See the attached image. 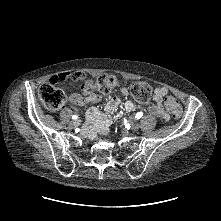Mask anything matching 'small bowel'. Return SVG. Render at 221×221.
<instances>
[{
	"instance_id": "small-bowel-1",
	"label": "small bowel",
	"mask_w": 221,
	"mask_h": 221,
	"mask_svg": "<svg viewBox=\"0 0 221 221\" xmlns=\"http://www.w3.org/2000/svg\"><path fill=\"white\" fill-rule=\"evenodd\" d=\"M83 75L74 70L71 73L65 72L57 76H51L48 79L51 85H60L67 82L77 83L81 80ZM91 82V81H89ZM92 83V82H91ZM122 93L126 95L128 93L127 89L123 88ZM72 105L73 106H83L91 103H96L100 100V95L94 92L83 93L82 95L74 94ZM172 96L168 95V91L165 87H157L153 92L154 103L149 107V112L158 118L163 120L169 119L167 99ZM173 98V97H172ZM120 104V99L117 97H110L105 105V112H100L97 108L92 107L86 113V123L87 131L90 136H96V133L107 134L111 129L112 114L116 111ZM125 110L128 112H133L136 110L137 106L132 100H128L124 104Z\"/></svg>"
}]
</instances>
